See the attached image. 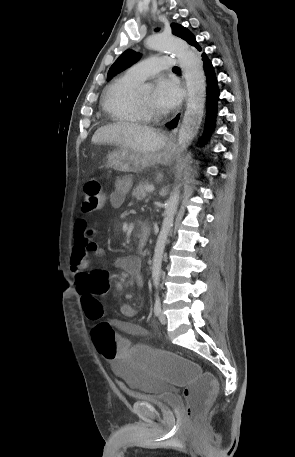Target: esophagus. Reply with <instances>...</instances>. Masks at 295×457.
<instances>
[{
	"label": "esophagus",
	"instance_id": "1",
	"mask_svg": "<svg viewBox=\"0 0 295 457\" xmlns=\"http://www.w3.org/2000/svg\"><path fill=\"white\" fill-rule=\"evenodd\" d=\"M177 132V128L173 129L171 134H170V139L173 137V135H175ZM167 150L169 151L170 150V145L167 147Z\"/></svg>",
	"mask_w": 295,
	"mask_h": 457
}]
</instances>
